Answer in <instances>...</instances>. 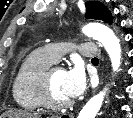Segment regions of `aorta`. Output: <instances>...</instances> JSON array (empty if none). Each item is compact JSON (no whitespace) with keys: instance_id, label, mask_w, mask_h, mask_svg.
<instances>
[{"instance_id":"1","label":"aorta","mask_w":133,"mask_h":118,"mask_svg":"<svg viewBox=\"0 0 133 118\" xmlns=\"http://www.w3.org/2000/svg\"><path fill=\"white\" fill-rule=\"evenodd\" d=\"M82 32L102 43L110 57L113 72H118L121 65V46L114 32L100 23H90L82 29ZM106 91L107 88L93 96L82 108L77 118H95L103 104Z\"/></svg>"}]
</instances>
